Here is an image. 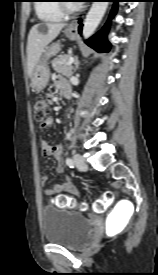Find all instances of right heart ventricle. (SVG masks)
I'll return each instance as SVG.
<instances>
[{"mask_svg":"<svg viewBox=\"0 0 158 275\" xmlns=\"http://www.w3.org/2000/svg\"><path fill=\"white\" fill-rule=\"evenodd\" d=\"M58 0H40L36 6L38 17L44 21H60L64 13L60 10Z\"/></svg>","mask_w":158,"mask_h":275,"instance_id":"right-heart-ventricle-1","label":"right heart ventricle"}]
</instances>
